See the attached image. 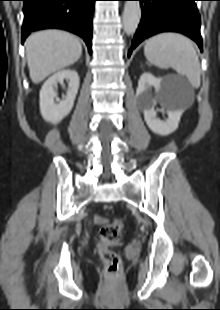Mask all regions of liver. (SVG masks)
<instances>
[{"label": "liver", "mask_w": 220, "mask_h": 310, "mask_svg": "<svg viewBox=\"0 0 220 310\" xmlns=\"http://www.w3.org/2000/svg\"><path fill=\"white\" fill-rule=\"evenodd\" d=\"M25 47L30 78L35 84L72 65L82 54L79 39L61 30L33 33L27 38Z\"/></svg>", "instance_id": "liver-1"}]
</instances>
